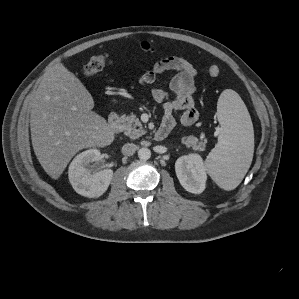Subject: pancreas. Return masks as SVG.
Instances as JSON below:
<instances>
[{"label": "pancreas", "mask_w": 299, "mask_h": 299, "mask_svg": "<svg viewBox=\"0 0 299 299\" xmlns=\"http://www.w3.org/2000/svg\"><path fill=\"white\" fill-rule=\"evenodd\" d=\"M121 122L123 123L125 135H127L131 139H137L146 133V131L142 127L141 121L134 114L128 116L123 115L121 117ZM181 142L182 144H185L186 147H191L193 150H198V151H203L207 143L206 140L203 139L199 140L198 138L192 135L187 137H182Z\"/></svg>", "instance_id": "obj_1"}]
</instances>
